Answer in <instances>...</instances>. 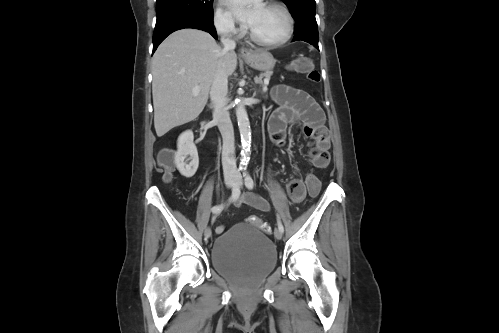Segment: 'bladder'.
I'll return each instance as SVG.
<instances>
[{
  "label": "bladder",
  "mask_w": 499,
  "mask_h": 333,
  "mask_svg": "<svg viewBox=\"0 0 499 333\" xmlns=\"http://www.w3.org/2000/svg\"><path fill=\"white\" fill-rule=\"evenodd\" d=\"M211 263L222 276L250 288L276 268L277 250L256 226L241 222L218 236L211 249Z\"/></svg>",
  "instance_id": "1"
}]
</instances>
